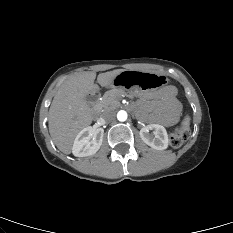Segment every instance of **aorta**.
<instances>
[{"instance_id": "1", "label": "aorta", "mask_w": 233, "mask_h": 233, "mask_svg": "<svg viewBox=\"0 0 233 233\" xmlns=\"http://www.w3.org/2000/svg\"><path fill=\"white\" fill-rule=\"evenodd\" d=\"M117 119L121 122L126 121L127 120V112L124 110H120L117 113Z\"/></svg>"}]
</instances>
